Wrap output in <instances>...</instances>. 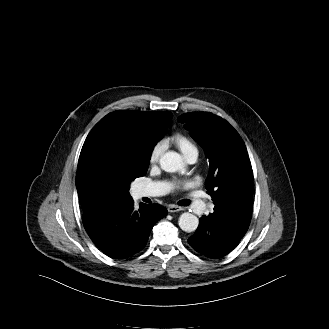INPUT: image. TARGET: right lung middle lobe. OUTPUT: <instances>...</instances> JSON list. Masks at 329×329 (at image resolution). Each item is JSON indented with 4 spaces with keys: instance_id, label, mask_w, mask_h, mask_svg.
<instances>
[{
    "instance_id": "obj_1",
    "label": "right lung middle lobe",
    "mask_w": 329,
    "mask_h": 329,
    "mask_svg": "<svg viewBox=\"0 0 329 329\" xmlns=\"http://www.w3.org/2000/svg\"><path fill=\"white\" fill-rule=\"evenodd\" d=\"M167 127L160 135L117 137L110 147L100 149L77 169L79 195L90 205L130 198V182L146 174L153 147Z\"/></svg>"
}]
</instances>
